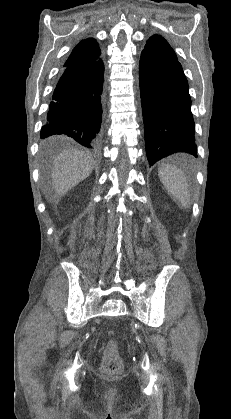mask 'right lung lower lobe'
I'll return each mask as SVG.
<instances>
[{
    "mask_svg": "<svg viewBox=\"0 0 231 419\" xmlns=\"http://www.w3.org/2000/svg\"><path fill=\"white\" fill-rule=\"evenodd\" d=\"M104 64L101 59L64 65L40 137H69L91 150L99 146Z\"/></svg>",
    "mask_w": 231,
    "mask_h": 419,
    "instance_id": "98d812e1",
    "label": "right lung lower lobe"
}]
</instances>
